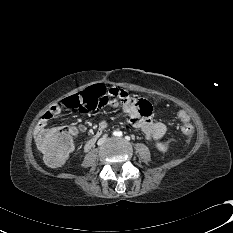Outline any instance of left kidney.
I'll return each instance as SVG.
<instances>
[{"label":"left kidney","mask_w":233,"mask_h":233,"mask_svg":"<svg viewBox=\"0 0 233 233\" xmlns=\"http://www.w3.org/2000/svg\"><path fill=\"white\" fill-rule=\"evenodd\" d=\"M155 146L160 152H166L167 151V145L164 144L163 142H156Z\"/></svg>","instance_id":"5707ae66"}]
</instances>
